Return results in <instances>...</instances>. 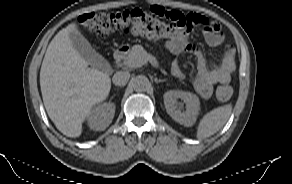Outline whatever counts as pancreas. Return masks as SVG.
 <instances>
[{"label":"pancreas","instance_id":"obj_1","mask_svg":"<svg viewBox=\"0 0 292 184\" xmlns=\"http://www.w3.org/2000/svg\"><path fill=\"white\" fill-rule=\"evenodd\" d=\"M147 52L141 45H134L124 59V64L127 67H135L136 64L143 58Z\"/></svg>","mask_w":292,"mask_h":184}]
</instances>
